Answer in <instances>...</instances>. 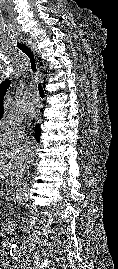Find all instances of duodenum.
I'll use <instances>...</instances> for the list:
<instances>
[{
  "label": "duodenum",
  "mask_w": 118,
  "mask_h": 269,
  "mask_svg": "<svg viewBox=\"0 0 118 269\" xmlns=\"http://www.w3.org/2000/svg\"><path fill=\"white\" fill-rule=\"evenodd\" d=\"M15 223L12 220H6L3 223V231L5 233H11L14 230Z\"/></svg>",
  "instance_id": "410a0bca"
}]
</instances>
